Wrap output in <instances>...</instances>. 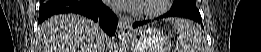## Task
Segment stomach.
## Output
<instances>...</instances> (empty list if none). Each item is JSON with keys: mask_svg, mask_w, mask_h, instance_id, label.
I'll list each match as a JSON object with an SVG mask.
<instances>
[{"mask_svg": "<svg viewBox=\"0 0 261 52\" xmlns=\"http://www.w3.org/2000/svg\"><path fill=\"white\" fill-rule=\"evenodd\" d=\"M133 52H166L167 39L158 30L138 29L131 36Z\"/></svg>", "mask_w": 261, "mask_h": 52, "instance_id": "0dacf381", "label": "stomach"}]
</instances>
